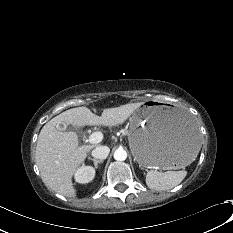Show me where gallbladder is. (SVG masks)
<instances>
[{"mask_svg":"<svg viewBox=\"0 0 233 233\" xmlns=\"http://www.w3.org/2000/svg\"><path fill=\"white\" fill-rule=\"evenodd\" d=\"M66 127L67 126L64 123L58 125V128L61 129V130H64Z\"/></svg>","mask_w":233,"mask_h":233,"instance_id":"1","label":"gallbladder"}]
</instances>
